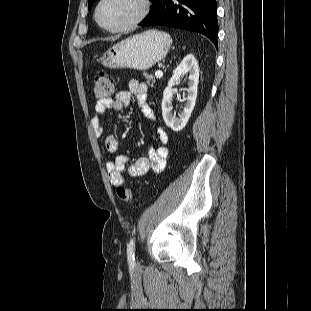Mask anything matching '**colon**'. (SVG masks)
I'll return each instance as SVG.
<instances>
[{"mask_svg": "<svg viewBox=\"0 0 311 311\" xmlns=\"http://www.w3.org/2000/svg\"><path fill=\"white\" fill-rule=\"evenodd\" d=\"M93 93L100 100L109 99L113 93V84L109 75L103 70L97 72L94 76ZM117 196L125 203L133 201V191L130 188L119 186Z\"/></svg>", "mask_w": 311, "mask_h": 311, "instance_id": "obj_1", "label": "colon"}]
</instances>
